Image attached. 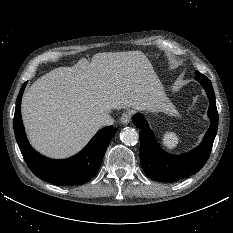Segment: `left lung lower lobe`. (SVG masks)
I'll return each mask as SVG.
<instances>
[{
  "mask_svg": "<svg viewBox=\"0 0 233 233\" xmlns=\"http://www.w3.org/2000/svg\"><path fill=\"white\" fill-rule=\"evenodd\" d=\"M209 98L208 116L211 125L199 147L183 155H170L157 144L154 134L141 114L133 117L134 124L141 129L140 161L145 174L155 181L176 182L198 172L206 163L212 150L218 128V112L211 81L198 78Z\"/></svg>",
  "mask_w": 233,
  "mask_h": 233,
  "instance_id": "0a47b994",
  "label": "left lung lower lobe"
}]
</instances>
